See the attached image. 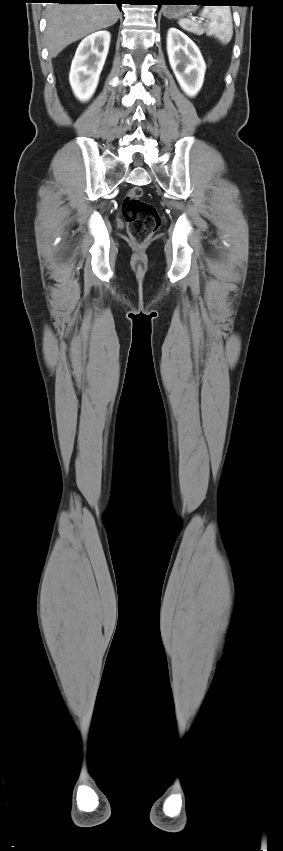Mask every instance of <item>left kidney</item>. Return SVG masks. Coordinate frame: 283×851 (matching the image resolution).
Wrapping results in <instances>:
<instances>
[{"label":"left kidney","instance_id":"obj_1","mask_svg":"<svg viewBox=\"0 0 283 851\" xmlns=\"http://www.w3.org/2000/svg\"><path fill=\"white\" fill-rule=\"evenodd\" d=\"M167 53L181 89L189 97L196 96L203 85L206 71L198 47L183 32L170 28L167 33Z\"/></svg>","mask_w":283,"mask_h":851}]
</instances>
